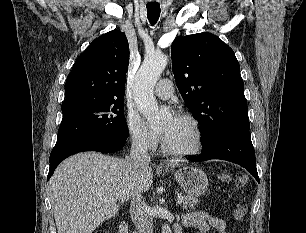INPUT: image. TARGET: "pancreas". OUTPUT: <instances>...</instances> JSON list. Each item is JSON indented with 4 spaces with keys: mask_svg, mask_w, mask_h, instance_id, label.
<instances>
[{
    "mask_svg": "<svg viewBox=\"0 0 306 233\" xmlns=\"http://www.w3.org/2000/svg\"><path fill=\"white\" fill-rule=\"evenodd\" d=\"M180 199L182 200V207L186 209L188 206L193 208L199 200L196 197H192L190 195H180Z\"/></svg>",
    "mask_w": 306,
    "mask_h": 233,
    "instance_id": "pancreas-1",
    "label": "pancreas"
}]
</instances>
